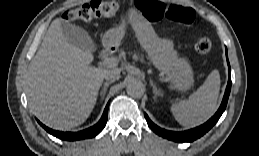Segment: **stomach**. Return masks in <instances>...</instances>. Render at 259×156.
<instances>
[{
    "mask_svg": "<svg viewBox=\"0 0 259 156\" xmlns=\"http://www.w3.org/2000/svg\"><path fill=\"white\" fill-rule=\"evenodd\" d=\"M134 28L137 38L147 52L153 65L166 75L170 88L185 92L194 83L193 70L186 58L178 57L171 40L159 38L150 23L136 10H129L119 27L108 31L107 42L118 46L124 36L126 25Z\"/></svg>",
    "mask_w": 259,
    "mask_h": 156,
    "instance_id": "1",
    "label": "stomach"
}]
</instances>
